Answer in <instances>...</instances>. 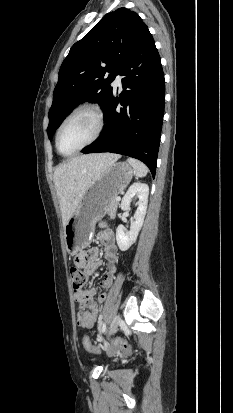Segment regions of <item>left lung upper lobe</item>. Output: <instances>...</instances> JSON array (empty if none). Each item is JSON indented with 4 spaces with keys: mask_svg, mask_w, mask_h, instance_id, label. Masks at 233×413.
I'll return each mask as SVG.
<instances>
[{
    "mask_svg": "<svg viewBox=\"0 0 233 413\" xmlns=\"http://www.w3.org/2000/svg\"><path fill=\"white\" fill-rule=\"evenodd\" d=\"M147 31L137 13L119 8L106 14L71 47L60 67L49 110V139L77 104L88 100L107 109L114 96L109 84L120 74ZM106 74L108 79H104Z\"/></svg>",
    "mask_w": 233,
    "mask_h": 413,
    "instance_id": "5c2ea615",
    "label": "left lung upper lobe"
}]
</instances>
